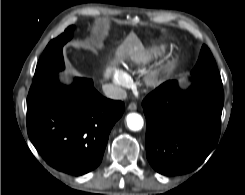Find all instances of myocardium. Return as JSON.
<instances>
[{"label":"myocardium","mask_w":245,"mask_h":195,"mask_svg":"<svg viewBox=\"0 0 245 195\" xmlns=\"http://www.w3.org/2000/svg\"><path fill=\"white\" fill-rule=\"evenodd\" d=\"M161 74L162 70L160 69L150 71L145 77L146 84L150 87L158 86L161 82Z\"/></svg>","instance_id":"1"}]
</instances>
